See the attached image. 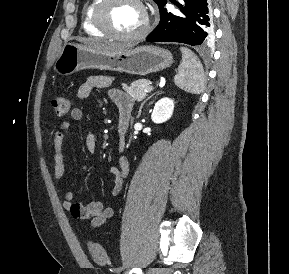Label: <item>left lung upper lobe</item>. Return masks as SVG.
Wrapping results in <instances>:
<instances>
[{
  "instance_id": "1",
  "label": "left lung upper lobe",
  "mask_w": 289,
  "mask_h": 274,
  "mask_svg": "<svg viewBox=\"0 0 289 274\" xmlns=\"http://www.w3.org/2000/svg\"><path fill=\"white\" fill-rule=\"evenodd\" d=\"M157 5L158 7L160 8L163 4V2H165L166 0H153Z\"/></svg>"
}]
</instances>
